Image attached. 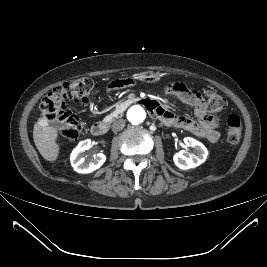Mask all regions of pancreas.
Wrapping results in <instances>:
<instances>
[{
	"label": "pancreas",
	"mask_w": 267,
	"mask_h": 267,
	"mask_svg": "<svg viewBox=\"0 0 267 267\" xmlns=\"http://www.w3.org/2000/svg\"><path fill=\"white\" fill-rule=\"evenodd\" d=\"M119 117H120V113L115 111V112L111 113L110 115L106 116L104 118V121L111 123L112 121H114L115 118H119Z\"/></svg>",
	"instance_id": "pancreas-1"
}]
</instances>
